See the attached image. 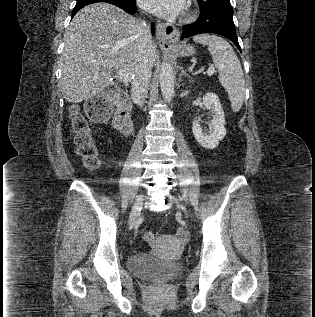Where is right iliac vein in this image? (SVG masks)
<instances>
[{
	"instance_id": "right-iliac-vein-1",
	"label": "right iliac vein",
	"mask_w": 315,
	"mask_h": 317,
	"mask_svg": "<svg viewBox=\"0 0 315 317\" xmlns=\"http://www.w3.org/2000/svg\"><path fill=\"white\" fill-rule=\"evenodd\" d=\"M142 204H143V197H142V195H140L137 198V200L132 208L131 214H130V218H129V225L130 226H133L136 223V219H137L138 215L140 214Z\"/></svg>"
}]
</instances>
